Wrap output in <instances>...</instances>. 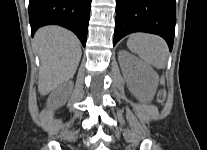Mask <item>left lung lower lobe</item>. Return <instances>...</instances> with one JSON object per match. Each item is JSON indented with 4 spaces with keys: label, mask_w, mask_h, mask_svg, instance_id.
I'll list each match as a JSON object with an SVG mask.
<instances>
[{
    "label": "left lung lower lobe",
    "mask_w": 207,
    "mask_h": 150,
    "mask_svg": "<svg viewBox=\"0 0 207 150\" xmlns=\"http://www.w3.org/2000/svg\"><path fill=\"white\" fill-rule=\"evenodd\" d=\"M176 23L175 0H116L115 45L133 32L160 35L172 50Z\"/></svg>",
    "instance_id": "left-lung-lower-lobe-1"
}]
</instances>
